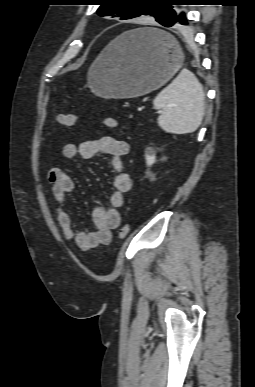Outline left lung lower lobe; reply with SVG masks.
I'll list each match as a JSON object with an SVG mask.
<instances>
[{
	"label": "left lung lower lobe",
	"instance_id": "left-lung-lower-lobe-1",
	"mask_svg": "<svg viewBox=\"0 0 255 387\" xmlns=\"http://www.w3.org/2000/svg\"><path fill=\"white\" fill-rule=\"evenodd\" d=\"M180 24H182V25H186L187 24V20H186V18H185L183 13H181V14L177 13L175 18H173L170 21H168L167 23L163 24V26H165V27H172V26L177 27ZM150 33H153V32H146L144 34H150ZM150 37H152V36H150ZM153 39H156V38H153Z\"/></svg>",
	"mask_w": 255,
	"mask_h": 387
}]
</instances>
